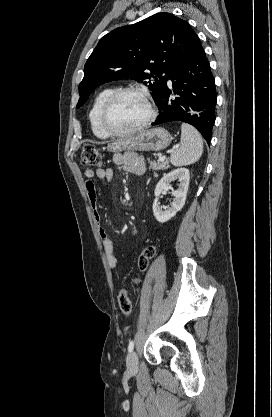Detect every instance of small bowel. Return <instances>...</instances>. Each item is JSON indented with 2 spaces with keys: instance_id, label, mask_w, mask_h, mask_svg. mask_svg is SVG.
I'll list each match as a JSON object with an SVG mask.
<instances>
[{
  "instance_id": "c3829d8e",
  "label": "small bowel",
  "mask_w": 272,
  "mask_h": 417,
  "mask_svg": "<svg viewBox=\"0 0 272 417\" xmlns=\"http://www.w3.org/2000/svg\"><path fill=\"white\" fill-rule=\"evenodd\" d=\"M113 163L114 168L87 169L85 171V189L94 210L95 219L98 222V231L101 239L103 240L108 264L112 270H118L119 263L111 250L112 241L109 238L106 229L100 223L101 216L97 211V189L93 179L97 177L102 181L109 183L113 179L115 170L125 171L134 175H142L145 172V163L142 157L131 152L115 154L113 157Z\"/></svg>"
}]
</instances>
